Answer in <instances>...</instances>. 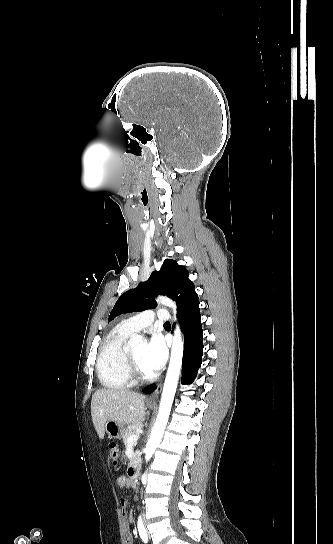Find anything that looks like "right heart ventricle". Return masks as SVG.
Instances as JSON below:
<instances>
[{
	"mask_svg": "<svg viewBox=\"0 0 333 544\" xmlns=\"http://www.w3.org/2000/svg\"><path fill=\"white\" fill-rule=\"evenodd\" d=\"M132 332L123 325L104 338L97 357L96 371L100 383L109 389H126L134 384L127 364L126 340Z\"/></svg>",
	"mask_w": 333,
	"mask_h": 544,
	"instance_id": "e07e8e85",
	"label": "right heart ventricle"
}]
</instances>
